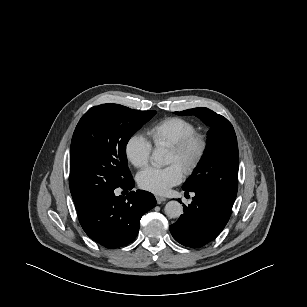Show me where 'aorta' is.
<instances>
[{"label":"aorta","mask_w":307,"mask_h":307,"mask_svg":"<svg viewBox=\"0 0 307 307\" xmlns=\"http://www.w3.org/2000/svg\"><path fill=\"white\" fill-rule=\"evenodd\" d=\"M152 162L156 166H163L167 164L166 152L163 149H155L151 156ZM165 214L169 218H179L183 213L182 205L175 200L169 201L165 205Z\"/></svg>","instance_id":"1"}]
</instances>
